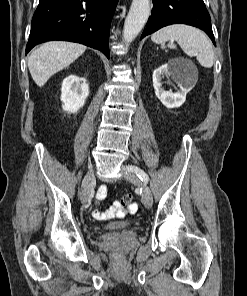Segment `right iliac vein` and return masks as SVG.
I'll return each instance as SVG.
<instances>
[{"mask_svg":"<svg viewBox=\"0 0 247 296\" xmlns=\"http://www.w3.org/2000/svg\"><path fill=\"white\" fill-rule=\"evenodd\" d=\"M94 181H95L94 171L91 170L86 174L82 183L83 192L81 196V201L84 204L87 203V201L90 198V194L94 186Z\"/></svg>","mask_w":247,"mask_h":296,"instance_id":"63e3f726","label":"right iliac vein"}]
</instances>
